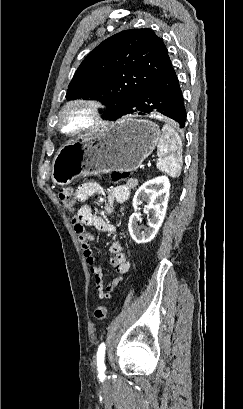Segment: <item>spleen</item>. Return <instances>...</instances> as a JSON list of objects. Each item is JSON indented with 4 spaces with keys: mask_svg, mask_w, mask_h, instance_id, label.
<instances>
[{
    "mask_svg": "<svg viewBox=\"0 0 243 409\" xmlns=\"http://www.w3.org/2000/svg\"><path fill=\"white\" fill-rule=\"evenodd\" d=\"M157 168L169 174L171 177H178L182 164V141L179 134L169 125H163L162 135L157 145Z\"/></svg>",
    "mask_w": 243,
    "mask_h": 409,
    "instance_id": "3e777b00",
    "label": "spleen"
}]
</instances>
